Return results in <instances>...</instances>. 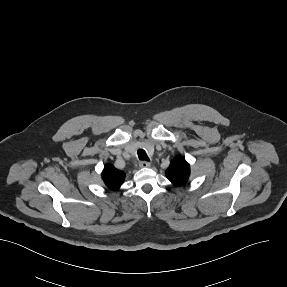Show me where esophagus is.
Here are the masks:
<instances>
[{"label":"esophagus","instance_id":"1","mask_svg":"<svg viewBox=\"0 0 287 287\" xmlns=\"http://www.w3.org/2000/svg\"><path fill=\"white\" fill-rule=\"evenodd\" d=\"M139 166L141 168H148V167H150V163L147 161H141V162H139Z\"/></svg>","mask_w":287,"mask_h":287}]
</instances>
